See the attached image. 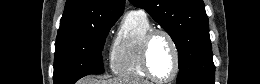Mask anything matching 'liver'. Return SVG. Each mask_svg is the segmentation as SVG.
I'll return each instance as SVG.
<instances>
[{
    "mask_svg": "<svg viewBox=\"0 0 260 84\" xmlns=\"http://www.w3.org/2000/svg\"><path fill=\"white\" fill-rule=\"evenodd\" d=\"M79 84H150L148 81L140 79H109V80H98L92 77H86L79 81Z\"/></svg>",
    "mask_w": 260,
    "mask_h": 84,
    "instance_id": "6515ba94",
    "label": "liver"
}]
</instances>
